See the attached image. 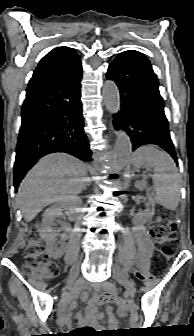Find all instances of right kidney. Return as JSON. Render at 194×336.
<instances>
[{"mask_svg":"<svg viewBox=\"0 0 194 336\" xmlns=\"http://www.w3.org/2000/svg\"><path fill=\"white\" fill-rule=\"evenodd\" d=\"M82 200L77 196L66 197L49 208L43 214L42 224L40 225L39 234L46 242V249L50 256L59 258L63 254V244L57 245V234L53 229L56 217L62 214L63 210H67L69 219L71 215L80 207Z\"/></svg>","mask_w":194,"mask_h":336,"instance_id":"ca27d5eb","label":"right kidney"}]
</instances>
